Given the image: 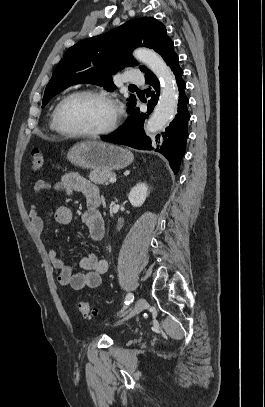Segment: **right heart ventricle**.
Here are the masks:
<instances>
[{
    "label": "right heart ventricle",
    "mask_w": 265,
    "mask_h": 407,
    "mask_svg": "<svg viewBox=\"0 0 265 407\" xmlns=\"http://www.w3.org/2000/svg\"><path fill=\"white\" fill-rule=\"evenodd\" d=\"M54 113H55V110H53V112H52V114H51V119H50L49 128H50L51 131H53V132H55V133H59V131H58L57 128H56Z\"/></svg>",
    "instance_id": "1"
}]
</instances>
